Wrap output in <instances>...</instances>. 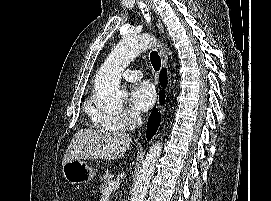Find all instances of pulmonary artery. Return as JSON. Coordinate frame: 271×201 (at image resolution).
<instances>
[{
  "label": "pulmonary artery",
  "instance_id": "1",
  "mask_svg": "<svg viewBox=\"0 0 271 201\" xmlns=\"http://www.w3.org/2000/svg\"><path fill=\"white\" fill-rule=\"evenodd\" d=\"M122 75L124 79L131 82L139 81L143 77L142 72L137 69H126Z\"/></svg>",
  "mask_w": 271,
  "mask_h": 201
}]
</instances>
